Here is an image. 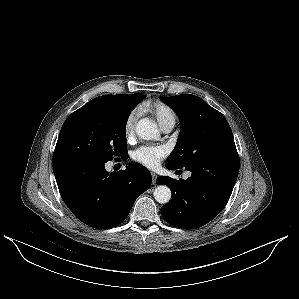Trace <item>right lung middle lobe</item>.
<instances>
[{
  "instance_id": "right-lung-middle-lobe-1",
  "label": "right lung middle lobe",
  "mask_w": 299,
  "mask_h": 299,
  "mask_svg": "<svg viewBox=\"0 0 299 299\" xmlns=\"http://www.w3.org/2000/svg\"><path fill=\"white\" fill-rule=\"evenodd\" d=\"M145 96L94 98L64 122L54 152L69 151L108 162L127 154L126 123Z\"/></svg>"
}]
</instances>
